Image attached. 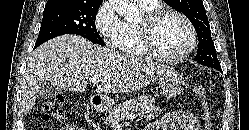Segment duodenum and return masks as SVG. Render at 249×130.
Masks as SVG:
<instances>
[{
  "label": "duodenum",
  "mask_w": 249,
  "mask_h": 130,
  "mask_svg": "<svg viewBox=\"0 0 249 130\" xmlns=\"http://www.w3.org/2000/svg\"><path fill=\"white\" fill-rule=\"evenodd\" d=\"M91 105L96 111H100L102 107V102L99 97H93L91 99Z\"/></svg>",
  "instance_id": "410a0bca"
}]
</instances>
